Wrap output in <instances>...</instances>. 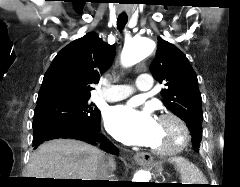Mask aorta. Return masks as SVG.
<instances>
[{"label": "aorta", "instance_id": "762f6f07", "mask_svg": "<svg viewBox=\"0 0 240 187\" xmlns=\"http://www.w3.org/2000/svg\"><path fill=\"white\" fill-rule=\"evenodd\" d=\"M154 42L146 37H134L124 47L121 61L125 67L132 66L145 57L149 56L154 50ZM150 174L147 171L135 173L132 182H149Z\"/></svg>", "mask_w": 240, "mask_h": 187}]
</instances>
